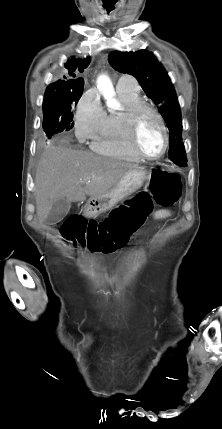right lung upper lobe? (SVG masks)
I'll use <instances>...</instances> for the list:
<instances>
[{
  "label": "right lung upper lobe",
  "instance_id": "right-lung-upper-lobe-1",
  "mask_svg": "<svg viewBox=\"0 0 222 429\" xmlns=\"http://www.w3.org/2000/svg\"><path fill=\"white\" fill-rule=\"evenodd\" d=\"M91 59H68L62 68V79L52 83L48 86L47 90L64 91L71 89L78 84H84V81L79 77V73H82L84 69L89 65Z\"/></svg>",
  "mask_w": 222,
  "mask_h": 429
}]
</instances>
